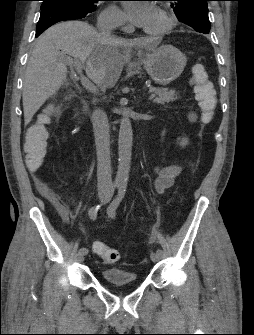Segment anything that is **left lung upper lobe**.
Listing matches in <instances>:
<instances>
[{"label": "left lung upper lobe", "mask_w": 254, "mask_h": 335, "mask_svg": "<svg viewBox=\"0 0 254 335\" xmlns=\"http://www.w3.org/2000/svg\"><path fill=\"white\" fill-rule=\"evenodd\" d=\"M171 1L176 17L197 32L209 33L208 4L210 0H167Z\"/></svg>", "instance_id": "5c2ea615"}]
</instances>
